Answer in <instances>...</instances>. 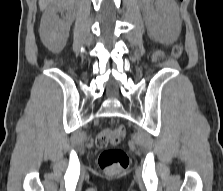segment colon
<instances>
[{
    "label": "colon",
    "mask_w": 223,
    "mask_h": 191,
    "mask_svg": "<svg viewBox=\"0 0 223 191\" xmlns=\"http://www.w3.org/2000/svg\"><path fill=\"white\" fill-rule=\"evenodd\" d=\"M172 54L175 58H179L182 54V48L175 47ZM124 136L123 127H118L116 130H105L96 137L95 144L102 149L98 158V164L102 170L123 171L128 168L129 157L127 153L123 149L117 148Z\"/></svg>",
    "instance_id": "obj_1"
}]
</instances>
